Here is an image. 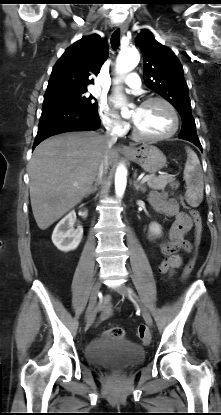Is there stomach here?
Returning <instances> with one entry per match:
<instances>
[{
  "mask_svg": "<svg viewBox=\"0 0 221 415\" xmlns=\"http://www.w3.org/2000/svg\"><path fill=\"white\" fill-rule=\"evenodd\" d=\"M125 155L128 159L140 165L144 171L151 174L161 170L167 161L166 156L160 149L148 143L133 148Z\"/></svg>",
  "mask_w": 221,
  "mask_h": 415,
  "instance_id": "0dacf381",
  "label": "stomach"
}]
</instances>
